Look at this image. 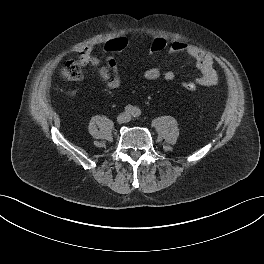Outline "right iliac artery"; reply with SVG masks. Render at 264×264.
Segmentation results:
<instances>
[{
	"instance_id": "right-iliac-artery-1",
	"label": "right iliac artery",
	"mask_w": 264,
	"mask_h": 264,
	"mask_svg": "<svg viewBox=\"0 0 264 264\" xmlns=\"http://www.w3.org/2000/svg\"><path fill=\"white\" fill-rule=\"evenodd\" d=\"M125 111L128 113V114H132L133 111H134V108L130 105L126 106L125 107Z\"/></svg>"
}]
</instances>
